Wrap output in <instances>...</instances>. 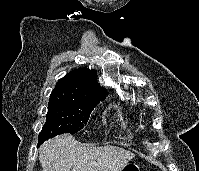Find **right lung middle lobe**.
I'll list each match as a JSON object with an SVG mask.
<instances>
[{
	"label": "right lung middle lobe",
	"instance_id": "dd1d6c3e",
	"mask_svg": "<svg viewBox=\"0 0 199 171\" xmlns=\"http://www.w3.org/2000/svg\"><path fill=\"white\" fill-rule=\"evenodd\" d=\"M103 99L79 102L50 97L39 141L43 143L59 134L78 132L87 124L93 108Z\"/></svg>",
	"mask_w": 199,
	"mask_h": 171
}]
</instances>
